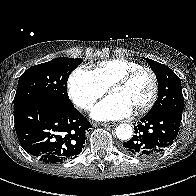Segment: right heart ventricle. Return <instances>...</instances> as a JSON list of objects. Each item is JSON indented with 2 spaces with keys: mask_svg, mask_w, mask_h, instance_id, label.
Returning <instances> with one entry per match:
<instances>
[{
  "mask_svg": "<svg viewBox=\"0 0 196 196\" xmlns=\"http://www.w3.org/2000/svg\"><path fill=\"white\" fill-rule=\"evenodd\" d=\"M138 67L141 65L137 62L114 58L99 62L92 72L100 84L107 89L116 79Z\"/></svg>",
  "mask_w": 196,
  "mask_h": 196,
  "instance_id": "1",
  "label": "right heart ventricle"
}]
</instances>
